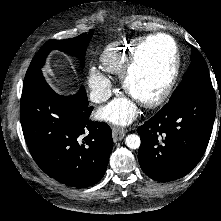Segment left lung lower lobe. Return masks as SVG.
Returning a JSON list of instances; mask_svg holds the SVG:
<instances>
[{
  "mask_svg": "<svg viewBox=\"0 0 221 221\" xmlns=\"http://www.w3.org/2000/svg\"><path fill=\"white\" fill-rule=\"evenodd\" d=\"M215 114L213 88L193 86L169 101L138 128L143 172L161 182L187 175L207 148Z\"/></svg>",
  "mask_w": 221,
  "mask_h": 221,
  "instance_id": "obj_1",
  "label": "left lung lower lobe"
}]
</instances>
